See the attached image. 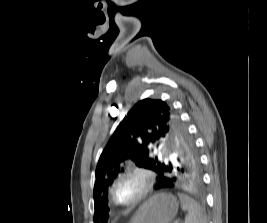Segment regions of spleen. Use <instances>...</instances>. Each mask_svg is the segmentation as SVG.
<instances>
[{
	"mask_svg": "<svg viewBox=\"0 0 267 223\" xmlns=\"http://www.w3.org/2000/svg\"><path fill=\"white\" fill-rule=\"evenodd\" d=\"M182 209L188 214L185 223H206V216L200 205L185 194H178Z\"/></svg>",
	"mask_w": 267,
	"mask_h": 223,
	"instance_id": "1",
	"label": "spleen"
}]
</instances>
